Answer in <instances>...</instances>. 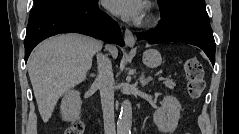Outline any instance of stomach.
I'll use <instances>...</instances> for the list:
<instances>
[{"label":"stomach","instance_id":"obj_1","mask_svg":"<svg viewBox=\"0 0 239 134\" xmlns=\"http://www.w3.org/2000/svg\"><path fill=\"white\" fill-rule=\"evenodd\" d=\"M143 63L149 68H156L162 63L161 54L155 49H148L143 53Z\"/></svg>","mask_w":239,"mask_h":134}]
</instances>
